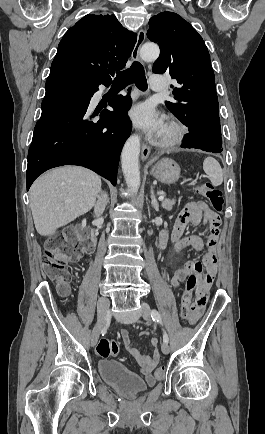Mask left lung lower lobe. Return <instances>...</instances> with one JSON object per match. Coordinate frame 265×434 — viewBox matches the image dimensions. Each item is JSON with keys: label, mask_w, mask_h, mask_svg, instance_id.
<instances>
[{"label": "left lung lower lobe", "mask_w": 265, "mask_h": 434, "mask_svg": "<svg viewBox=\"0 0 265 434\" xmlns=\"http://www.w3.org/2000/svg\"><path fill=\"white\" fill-rule=\"evenodd\" d=\"M182 142L183 148H195L212 153H221L223 150L221 134H208L193 128L184 136Z\"/></svg>", "instance_id": "0a47b994"}]
</instances>
